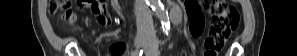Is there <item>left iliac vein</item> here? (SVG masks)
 <instances>
[{
    "instance_id": "left-iliac-vein-1",
    "label": "left iliac vein",
    "mask_w": 297,
    "mask_h": 56,
    "mask_svg": "<svg viewBox=\"0 0 297 56\" xmlns=\"http://www.w3.org/2000/svg\"><path fill=\"white\" fill-rule=\"evenodd\" d=\"M145 52L147 56H158L156 44H154L153 42H148L145 45Z\"/></svg>"
}]
</instances>
